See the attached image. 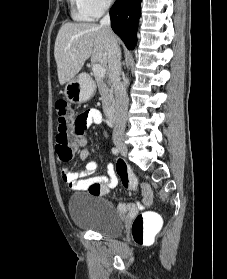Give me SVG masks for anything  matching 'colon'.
Returning <instances> with one entry per match:
<instances>
[{"label":"colon","mask_w":227,"mask_h":279,"mask_svg":"<svg viewBox=\"0 0 227 279\" xmlns=\"http://www.w3.org/2000/svg\"><path fill=\"white\" fill-rule=\"evenodd\" d=\"M55 111L57 122L55 150L61 161L68 162L75 155L73 135L83 130L87 114L83 113L75 117L71 106L63 100L55 103ZM127 171L125 165L117 166L119 174H126ZM89 189L93 192H99L102 188L98 183H91ZM156 230L157 225L153 221L152 214L143 212L133 222L132 236L136 242H143L149 240Z\"/></svg>","instance_id":"colon-1"}]
</instances>
